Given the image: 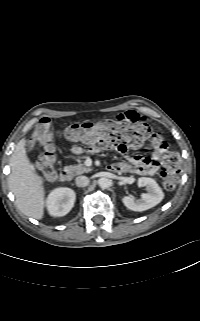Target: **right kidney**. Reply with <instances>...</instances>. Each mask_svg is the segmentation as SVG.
<instances>
[{
	"label": "right kidney",
	"instance_id": "ca27d5eb",
	"mask_svg": "<svg viewBox=\"0 0 200 321\" xmlns=\"http://www.w3.org/2000/svg\"><path fill=\"white\" fill-rule=\"evenodd\" d=\"M76 199L75 192L66 187L56 188L47 197L46 206L51 216L60 217L70 212Z\"/></svg>",
	"mask_w": 200,
	"mask_h": 321
}]
</instances>
